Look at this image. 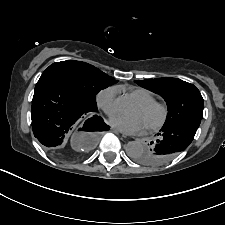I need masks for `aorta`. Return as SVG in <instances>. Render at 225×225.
<instances>
[{
  "instance_id": "obj_1",
  "label": "aorta",
  "mask_w": 225,
  "mask_h": 225,
  "mask_svg": "<svg viewBox=\"0 0 225 225\" xmlns=\"http://www.w3.org/2000/svg\"><path fill=\"white\" fill-rule=\"evenodd\" d=\"M117 105L120 108H124L127 105V100L124 97H121L117 100ZM125 150L129 157L136 158L145 151V147L139 141H130L127 143Z\"/></svg>"
}]
</instances>
